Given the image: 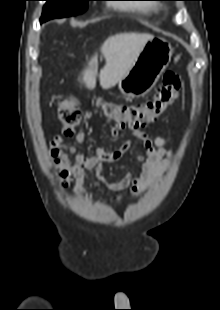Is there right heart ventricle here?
Masks as SVG:
<instances>
[{
    "mask_svg": "<svg viewBox=\"0 0 220 310\" xmlns=\"http://www.w3.org/2000/svg\"><path fill=\"white\" fill-rule=\"evenodd\" d=\"M138 10L142 13L152 14V13H156L158 9L155 6L146 5V6H142L138 8Z\"/></svg>",
    "mask_w": 220,
    "mask_h": 310,
    "instance_id": "right-heart-ventricle-1",
    "label": "right heart ventricle"
}]
</instances>
